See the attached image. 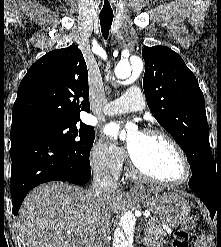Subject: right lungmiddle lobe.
I'll use <instances>...</instances> for the list:
<instances>
[{
	"mask_svg": "<svg viewBox=\"0 0 221 247\" xmlns=\"http://www.w3.org/2000/svg\"><path fill=\"white\" fill-rule=\"evenodd\" d=\"M77 122L41 123L26 126L19 130L44 136L78 156L89 158L95 138L94 128Z\"/></svg>",
	"mask_w": 221,
	"mask_h": 247,
	"instance_id": "obj_1",
	"label": "right lung middle lobe"
}]
</instances>
